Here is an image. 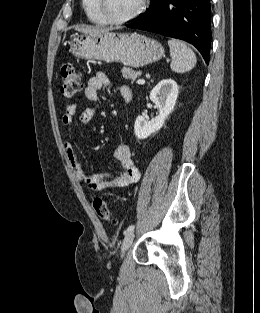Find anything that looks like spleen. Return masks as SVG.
I'll return each mask as SVG.
<instances>
[{
  "instance_id": "3e777b00",
  "label": "spleen",
  "mask_w": 260,
  "mask_h": 313,
  "mask_svg": "<svg viewBox=\"0 0 260 313\" xmlns=\"http://www.w3.org/2000/svg\"><path fill=\"white\" fill-rule=\"evenodd\" d=\"M168 45L172 58L170 64L172 71L185 73L195 67L197 63L196 55L184 42L170 39Z\"/></svg>"
}]
</instances>
